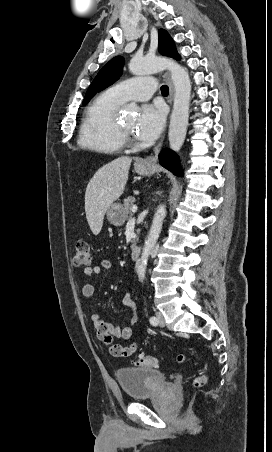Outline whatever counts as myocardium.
<instances>
[{
  "label": "myocardium",
  "instance_id": "obj_1",
  "mask_svg": "<svg viewBox=\"0 0 272 452\" xmlns=\"http://www.w3.org/2000/svg\"><path fill=\"white\" fill-rule=\"evenodd\" d=\"M115 130L118 137L122 140L124 144H133L134 140L131 136V132L122 126L120 122L115 121Z\"/></svg>",
  "mask_w": 272,
  "mask_h": 452
}]
</instances>
